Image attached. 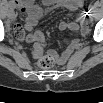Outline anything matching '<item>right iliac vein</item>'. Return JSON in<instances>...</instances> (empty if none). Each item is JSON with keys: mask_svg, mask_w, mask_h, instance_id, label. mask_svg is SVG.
<instances>
[{"mask_svg": "<svg viewBox=\"0 0 103 103\" xmlns=\"http://www.w3.org/2000/svg\"><path fill=\"white\" fill-rule=\"evenodd\" d=\"M8 17L10 19H13L15 17V14H14V12L12 10L8 12Z\"/></svg>", "mask_w": 103, "mask_h": 103, "instance_id": "1", "label": "right iliac vein"}]
</instances>
